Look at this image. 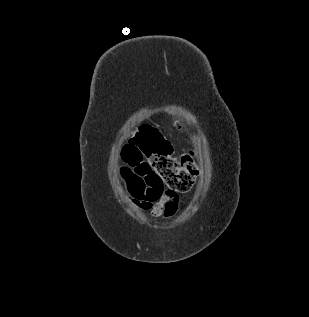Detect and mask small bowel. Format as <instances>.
Listing matches in <instances>:
<instances>
[{
  "label": "small bowel",
  "instance_id": "c3829d8e",
  "mask_svg": "<svg viewBox=\"0 0 309 317\" xmlns=\"http://www.w3.org/2000/svg\"><path fill=\"white\" fill-rule=\"evenodd\" d=\"M123 162L119 176L132 202L152 218H172L179 207L178 194L163 189L147 161L131 164L123 155Z\"/></svg>",
  "mask_w": 309,
  "mask_h": 317
}]
</instances>
